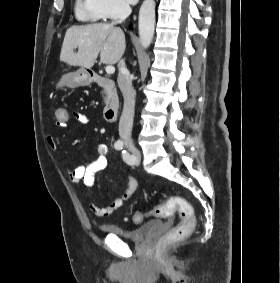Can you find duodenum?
<instances>
[{
  "instance_id": "410a0bca",
  "label": "duodenum",
  "mask_w": 280,
  "mask_h": 283,
  "mask_svg": "<svg viewBox=\"0 0 280 283\" xmlns=\"http://www.w3.org/2000/svg\"><path fill=\"white\" fill-rule=\"evenodd\" d=\"M85 79L105 91L106 99L103 107V114L106 121H115L119 111V99L115 83L111 79L103 77L97 73H90Z\"/></svg>"
}]
</instances>
